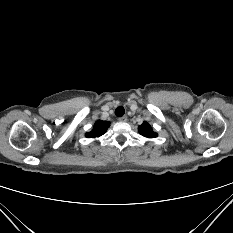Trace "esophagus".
<instances>
[{"mask_svg": "<svg viewBox=\"0 0 233 233\" xmlns=\"http://www.w3.org/2000/svg\"><path fill=\"white\" fill-rule=\"evenodd\" d=\"M120 122H126L127 121V116H121L118 119Z\"/></svg>", "mask_w": 233, "mask_h": 233, "instance_id": "esophagus-1", "label": "esophagus"}]
</instances>
